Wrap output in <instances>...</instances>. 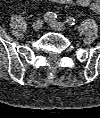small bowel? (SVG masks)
<instances>
[{
    "label": "small bowel",
    "instance_id": "1",
    "mask_svg": "<svg viewBox=\"0 0 100 118\" xmlns=\"http://www.w3.org/2000/svg\"><path fill=\"white\" fill-rule=\"evenodd\" d=\"M37 1V0H31ZM61 4H74L79 7H88L95 13H100V0H50Z\"/></svg>",
    "mask_w": 100,
    "mask_h": 118
}]
</instances>
